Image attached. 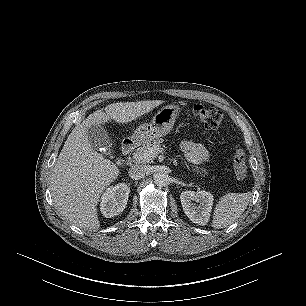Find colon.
<instances>
[{"mask_svg": "<svg viewBox=\"0 0 306 306\" xmlns=\"http://www.w3.org/2000/svg\"><path fill=\"white\" fill-rule=\"evenodd\" d=\"M193 113L207 129H218L223 122L222 113L213 107L197 104L193 108ZM233 169L236 179L244 180L247 173V158L241 146L234 149Z\"/></svg>", "mask_w": 306, "mask_h": 306, "instance_id": "colon-1", "label": "colon"}]
</instances>
